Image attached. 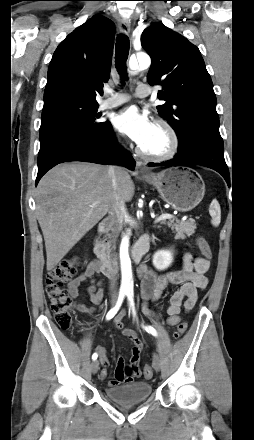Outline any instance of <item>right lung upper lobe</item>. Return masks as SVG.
Here are the masks:
<instances>
[{
  "label": "right lung upper lobe",
  "instance_id": "cb5924a9",
  "mask_svg": "<svg viewBox=\"0 0 254 440\" xmlns=\"http://www.w3.org/2000/svg\"><path fill=\"white\" fill-rule=\"evenodd\" d=\"M114 34L113 22L102 15L70 33L50 62L44 103L59 97L96 101L95 91L109 79Z\"/></svg>",
  "mask_w": 254,
  "mask_h": 440
}]
</instances>
